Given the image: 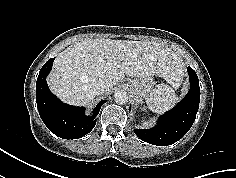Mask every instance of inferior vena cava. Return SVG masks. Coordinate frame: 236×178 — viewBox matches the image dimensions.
Here are the masks:
<instances>
[{"label": "inferior vena cava", "instance_id": "inferior-vena-cava-1", "mask_svg": "<svg viewBox=\"0 0 236 178\" xmlns=\"http://www.w3.org/2000/svg\"><path fill=\"white\" fill-rule=\"evenodd\" d=\"M108 90V84L104 81H98L96 83V93L102 94Z\"/></svg>", "mask_w": 236, "mask_h": 178}]
</instances>
